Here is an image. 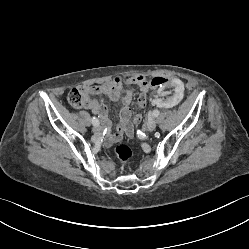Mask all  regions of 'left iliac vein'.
Instances as JSON below:
<instances>
[{"label": "left iliac vein", "instance_id": "left-iliac-vein-1", "mask_svg": "<svg viewBox=\"0 0 249 249\" xmlns=\"http://www.w3.org/2000/svg\"><path fill=\"white\" fill-rule=\"evenodd\" d=\"M157 122L154 118H150L147 122V129L153 131L156 128Z\"/></svg>", "mask_w": 249, "mask_h": 249}]
</instances>
